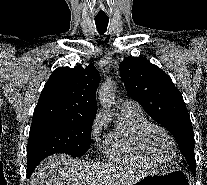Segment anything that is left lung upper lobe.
Returning <instances> with one entry per match:
<instances>
[{
    "label": "left lung upper lobe",
    "mask_w": 207,
    "mask_h": 185,
    "mask_svg": "<svg viewBox=\"0 0 207 185\" xmlns=\"http://www.w3.org/2000/svg\"><path fill=\"white\" fill-rule=\"evenodd\" d=\"M120 75L130 97L176 139L182 155L195 170L194 133L183 97L169 75L146 58L127 57Z\"/></svg>",
    "instance_id": "5c2ea615"
}]
</instances>
